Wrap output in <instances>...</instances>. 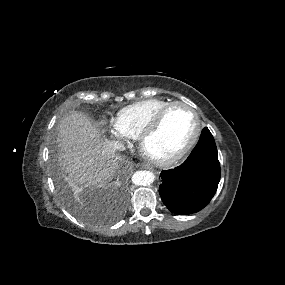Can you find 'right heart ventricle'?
I'll return each instance as SVG.
<instances>
[{
	"label": "right heart ventricle",
	"instance_id": "right-heart-ventricle-1",
	"mask_svg": "<svg viewBox=\"0 0 285 285\" xmlns=\"http://www.w3.org/2000/svg\"><path fill=\"white\" fill-rule=\"evenodd\" d=\"M171 103L161 98L141 100L122 108L116 118L127 132L138 137L146 125Z\"/></svg>",
	"mask_w": 285,
	"mask_h": 285
}]
</instances>
